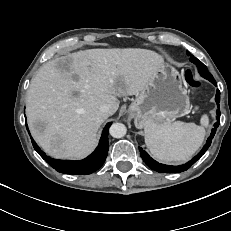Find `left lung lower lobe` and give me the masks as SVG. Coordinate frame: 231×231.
Wrapping results in <instances>:
<instances>
[{
  "label": "left lung lower lobe",
  "mask_w": 231,
  "mask_h": 231,
  "mask_svg": "<svg viewBox=\"0 0 231 231\" xmlns=\"http://www.w3.org/2000/svg\"><path fill=\"white\" fill-rule=\"evenodd\" d=\"M210 82H212L214 85H216V81L214 79L210 80ZM215 101L217 103V107H219V102H220V91L219 90H217V92H216ZM216 114H217V116H216L217 122L214 124V128L211 131V135L207 139L206 144L204 145V147L200 151V153L197 154L191 161L187 162L184 165H178V166H169V165L160 164V163L156 162L155 160H153L147 154V152H145L142 148H140V155H141L143 161L151 169L156 170V171L161 172V173H180V172L186 171L198 159H200V157L207 151L208 147L210 146V144L212 142V139H213V137H214V135L216 133V129H217L219 123H220V115H221V113H220L219 109H217Z\"/></svg>",
  "instance_id": "0a47b994"
}]
</instances>
